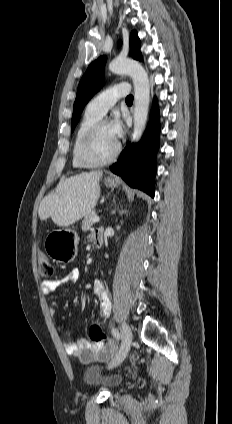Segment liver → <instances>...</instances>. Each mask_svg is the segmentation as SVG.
Instances as JSON below:
<instances>
[{
  "mask_svg": "<svg viewBox=\"0 0 232 424\" xmlns=\"http://www.w3.org/2000/svg\"><path fill=\"white\" fill-rule=\"evenodd\" d=\"M102 171L80 173L60 180L55 191L44 197L38 209L41 220L67 227L89 214L100 197Z\"/></svg>",
  "mask_w": 232,
  "mask_h": 424,
  "instance_id": "1",
  "label": "liver"
}]
</instances>
